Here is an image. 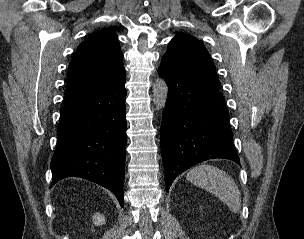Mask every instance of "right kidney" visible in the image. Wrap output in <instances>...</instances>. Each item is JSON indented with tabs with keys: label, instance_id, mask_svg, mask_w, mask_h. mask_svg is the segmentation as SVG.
<instances>
[{
	"label": "right kidney",
	"instance_id": "1",
	"mask_svg": "<svg viewBox=\"0 0 304 239\" xmlns=\"http://www.w3.org/2000/svg\"><path fill=\"white\" fill-rule=\"evenodd\" d=\"M99 224H103L105 222V218L101 215L97 216Z\"/></svg>",
	"mask_w": 304,
	"mask_h": 239
}]
</instances>
